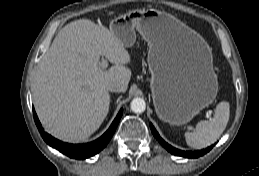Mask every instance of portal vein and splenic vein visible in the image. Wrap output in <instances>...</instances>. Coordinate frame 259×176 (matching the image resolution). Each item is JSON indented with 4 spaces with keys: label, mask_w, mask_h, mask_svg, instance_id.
<instances>
[{
    "label": "portal vein and splenic vein",
    "mask_w": 259,
    "mask_h": 176,
    "mask_svg": "<svg viewBox=\"0 0 259 176\" xmlns=\"http://www.w3.org/2000/svg\"><path fill=\"white\" fill-rule=\"evenodd\" d=\"M100 66H101L102 69H106L107 66H108L107 60L102 58L101 62H100ZM207 117H210V114H207Z\"/></svg>",
    "instance_id": "portal-vein-and-splenic-vein-1"
}]
</instances>
